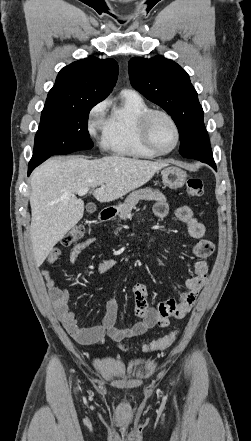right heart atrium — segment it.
<instances>
[{
	"label": "right heart atrium",
	"mask_w": 251,
	"mask_h": 441,
	"mask_svg": "<svg viewBox=\"0 0 251 441\" xmlns=\"http://www.w3.org/2000/svg\"><path fill=\"white\" fill-rule=\"evenodd\" d=\"M107 108V102L101 101L98 104H96L92 109L90 110L88 114L87 119V129L89 134L94 137L98 138L100 134H104L105 126H106V119H105V111Z\"/></svg>",
	"instance_id": "1"
}]
</instances>
